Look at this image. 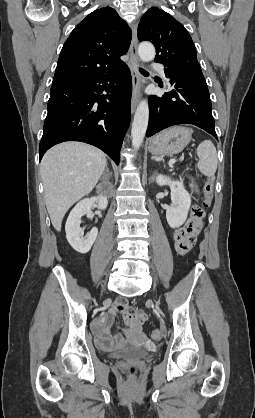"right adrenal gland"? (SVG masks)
<instances>
[{
  "mask_svg": "<svg viewBox=\"0 0 255 418\" xmlns=\"http://www.w3.org/2000/svg\"><path fill=\"white\" fill-rule=\"evenodd\" d=\"M106 174L108 176L106 180H109V178L112 176V173L109 171V168H108L107 165H106V169H105L102 177L104 178Z\"/></svg>",
  "mask_w": 255,
  "mask_h": 418,
  "instance_id": "right-adrenal-gland-1",
  "label": "right adrenal gland"
}]
</instances>
